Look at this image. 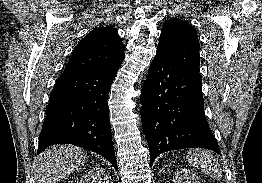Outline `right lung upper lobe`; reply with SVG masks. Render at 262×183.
Returning <instances> with one entry per match:
<instances>
[{
    "mask_svg": "<svg viewBox=\"0 0 262 183\" xmlns=\"http://www.w3.org/2000/svg\"><path fill=\"white\" fill-rule=\"evenodd\" d=\"M125 46L112 27H99L89 32L76 46L64 72L112 70L124 60Z\"/></svg>",
    "mask_w": 262,
    "mask_h": 183,
    "instance_id": "1",
    "label": "right lung upper lobe"
}]
</instances>
